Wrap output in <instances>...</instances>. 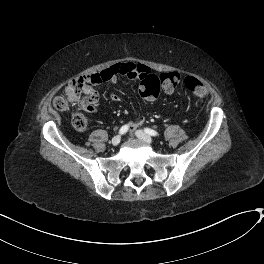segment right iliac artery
Returning a JSON list of instances; mask_svg holds the SVG:
<instances>
[{
    "label": "right iliac artery",
    "instance_id": "obj_1",
    "mask_svg": "<svg viewBox=\"0 0 264 264\" xmlns=\"http://www.w3.org/2000/svg\"><path fill=\"white\" fill-rule=\"evenodd\" d=\"M128 129H129V125H124L120 128L119 133L125 134L128 131Z\"/></svg>",
    "mask_w": 264,
    "mask_h": 264
}]
</instances>
